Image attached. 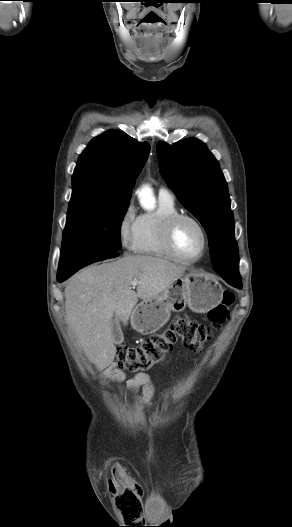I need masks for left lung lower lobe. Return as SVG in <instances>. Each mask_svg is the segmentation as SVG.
<instances>
[{
  "mask_svg": "<svg viewBox=\"0 0 292 527\" xmlns=\"http://www.w3.org/2000/svg\"><path fill=\"white\" fill-rule=\"evenodd\" d=\"M215 271H217L220 274V276L231 286L236 287L238 289L242 288L241 278L239 275L238 268L218 267V268H215Z\"/></svg>",
  "mask_w": 292,
  "mask_h": 527,
  "instance_id": "left-lung-lower-lobe-1",
  "label": "left lung lower lobe"
}]
</instances>
